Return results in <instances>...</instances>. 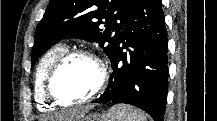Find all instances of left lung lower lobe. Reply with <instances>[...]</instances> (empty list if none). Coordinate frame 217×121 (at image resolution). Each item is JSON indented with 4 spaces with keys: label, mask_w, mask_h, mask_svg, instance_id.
I'll return each mask as SVG.
<instances>
[{
    "label": "left lung lower lobe",
    "mask_w": 217,
    "mask_h": 121,
    "mask_svg": "<svg viewBox=\"0 0 217 121\" xmlns=\"http://www.w3.org/2000/svg\"><path fill=\"white\" fill-rule=\"evenodd\" d=\"M127 52H123V50ZM167 32L161 0H136L112 54L113 72L93 103H128L163 121L168 87Z\"/></svg>",
    "instance_id": "obj_1"
}]
</instances>
